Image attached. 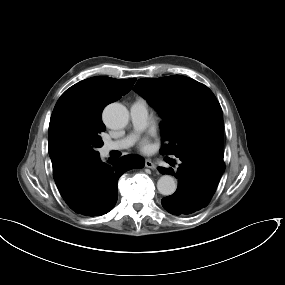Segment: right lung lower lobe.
<instances>
[{"label": "right lung lower lobe", "mask_w": 285, "mask_h": 285, "mask_svg": "<svg viewBox=\"0 0 285 285\" xmlns=\"http://www.w3.org/2000/svg\"><path fill=\"white\" fill-rule=\"evenodd\" d=\"M144 165V159L134 155L110 159L107 163L98 157L72 170L56 185L74 212L90 217L101 216L117 202L119 177L127 170L143 168Z\"/></svg>", "instance_id": "1"}]
</instances>
